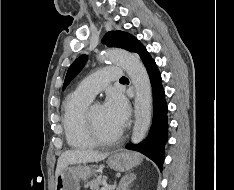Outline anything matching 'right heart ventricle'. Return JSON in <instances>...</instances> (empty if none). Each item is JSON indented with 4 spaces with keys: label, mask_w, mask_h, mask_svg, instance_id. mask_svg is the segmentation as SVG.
Returning <instances> with one entry per match:
<instances>
[{
    "label": "right heart ventricle",
    "mask_w": 234,
    "mask_h": 190,
    "mask_svg": "<svg viewBox=\"0 0 234 190\" xmlns=\"http://www.w3.org/2000/svg\"><path fill=\"white\" fill-rule=\"evenodd\" d=\"M91 100V97L76 91L64 100L62 124L66 140L73 148L89 149L96 145L85 120V111Z\"/></svg>",
    "instance_id": "right-heart-ventricle-1"
}]
</instances>
